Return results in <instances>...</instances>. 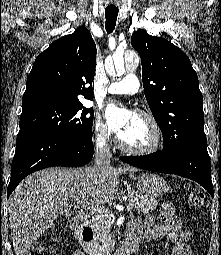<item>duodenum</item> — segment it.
<instances>
[{"label": "duodenum", "instance_id": "obj_1", "mask_svg": "<svg viewBox=\"0 0 221 255\" xmlns=\"http://www.w3.org/2000/svg\"><path fill=\"white\" fill-rule=\"evenodd\" d=\"M72 232L86 245H91L93 242V228L88 223L86 217L82 214L75 215L70 221ZM140 239L130 238L126 248L115 255H132L139 247Z\"/></svg>", "mask_w": 221, "mask_h": 255}]
</instances>
